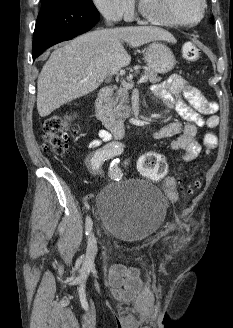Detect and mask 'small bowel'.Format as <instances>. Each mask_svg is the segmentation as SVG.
Returning a JSON list of instances; mask_svg holds the SVG:
<instances>
[{"label":"small bowel","instance_id":"c3829d8e","mask_svg":"<svg viewBox=\"0 0 233 328\" xmlns=\"http://www.w3.org/2000/svg\"><path fill=\"white\" fill-rule=\"evenodd\" d=\"M151 92L155 98L176 111L185 120L184 123L175 121L158 129L154 133V138L158 140L173 138L170 147L180 152L183 161L196 159L201 152L198 128H215L219 124L218 105L206 99L191 82L176 74L152 86ZM112 138L110 132L102 129L98 132V138L93 139L89 146L99 147ZM163 190L171 201L178 199L174 177L169 176L165 179ZM107 278L112 294L117 300L131 301L143 290L140 272L135 267L114 264L110 267Z\"/></svg>","mask_w":233,"mask_h":328}]
</instances>
